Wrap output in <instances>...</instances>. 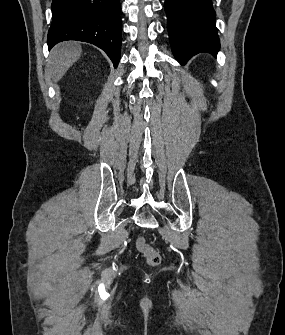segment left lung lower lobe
Listing matches in <instances>:
<instances>
[{"mask_svg": "<svg viewBox=\"0 0 285 335\" xmlns=\"http://www.w3.org/2000/svg\"><path fill=\"white\" fill-rule=\"evenodd\" d=\"M167 29L176 59L184 65L192 56L220 48L212 0H165Z\"/></svg>", "mask_w": 285, "mask_h": 335, "instance_id": "obj_1", "label": "left lung lower lobe"}]
</instances>
